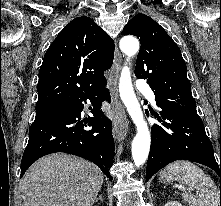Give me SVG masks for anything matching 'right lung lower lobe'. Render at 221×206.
Listing matches in <instances>:
<instances>
[{"label":"right lung lower lobe","mask_w":221,"mask_h":206,"mask_svg":"<svg viewBox=\"0 0 221 206\" xmlns=\"http://www.w3.org/2000/svg\"><path fill=\"white\" fill-rule=\"evenodd\" d=\"M106 82L78 101L53 112L37 115L29 130V141L21 161L22 177L25 171L40 157L65 152L83 157L95 163L112 180L109 168L115 156L112 123L103 114L101 104L110 102ZM89 99L93 104L88 120H81L82 102ZM87 126L92 129L86 130Z\"/></svg>","instance_id":"right-lung-lower-lobe-1"}]
</instances>
